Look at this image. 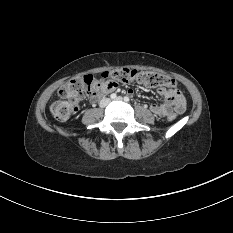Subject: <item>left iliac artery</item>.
Returning <instances> with one entry per match:
<instances>
[{
  "mask_svg": "<svg viewBox=\"0 0 233 233\" xmlns=\"http://www.w3.org/2000/svg\"><path fill=\"white\" fill-rule=\"evenodd\" d=\"M124 101L129 102L130 101L129 97L125 96Z\"/></svg>",
  "mask_w": 233,
  "mask_h": 233,
  "instance_id": "1",
  "label": "left iliac artery"
}]
</instances>
